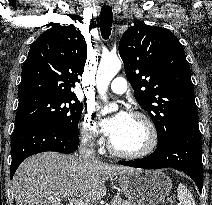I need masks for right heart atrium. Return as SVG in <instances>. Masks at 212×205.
Instances as JSON below:
<instances>
[{
  "label": "right heart atrium",
  "mask_w": 212,
  "mask_h": 205,
  "mask_svg": "<svg viewBox=\"0 0 212 205\" xmlns=\"http://www.w3.org/2000/svg\"><path fill=\"white\" fill-rule=\"evenodd\" d=\"M81 140L90 146H97L101 143V138L98 136L96 123L91 111H87L80 123Z\"/></svg>",
  "instance_id": "d8ad5b80"
}]
</instances>
